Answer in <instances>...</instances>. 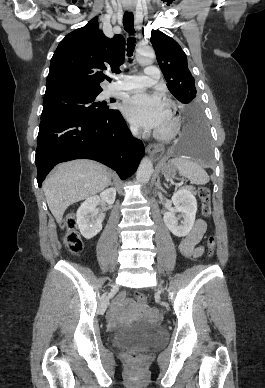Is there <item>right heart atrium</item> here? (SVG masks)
<instances>
[{"label": "right heart atrium", "instance_id": "right-heart-atrium-1", "mask_svg": "<svg viewBox=\"0 0 265 388\" xmlns=\"http://www.w3.org/2000/svg\"><path fill=\"white\" fill-rule=\"evenodd\" d=\"M132 129H133L134 131H137V128H136V127H134V126L132 127Z\"/></svg>", "mask_w": 265, "mask_h": 388}]
</instances>
